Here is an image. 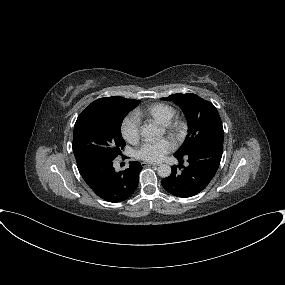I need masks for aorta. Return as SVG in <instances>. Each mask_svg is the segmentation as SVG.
Instances as JSON below:
<instances>
[{"label":"aorta","mask_w":285,"mask_h":285,"mask_svg":"<svg viewBox=\"0 0 285 285\" xmlns=\"http://www.w3.org/2000/svg\"><path fill=\"white\" fill-rule=\"evenodd\" d=\"M141 136L146 140L159 139L162 136V131L156 126L149 124L145 125L141 130ZM171 174V167L167 164H162L158 167V175L162 178L169 177Z\"/></svg>","instance_id":"aorta-1"}]
</instances>
